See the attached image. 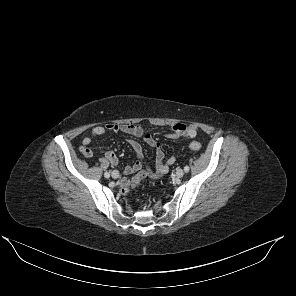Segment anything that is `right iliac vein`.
I'll return each mask as SVG.
<instances>
[{
  "instance_id": "obj_1",
  "label": "right iliac vein",
  "mask_w": 296,
  "mask_h": 296,
  "mask_svg": "<svg viewBox=\"0 0 296 296\" xmlns=\"http://www.w3.org/2000/svg\"><path fill=\"white\" fill-rule=\"evenodd\" d=\"M112 177H113L114 179L118 178V177H119V173H118L117 171H113V172H112Z\"/></svg>"
}]
</instances>
